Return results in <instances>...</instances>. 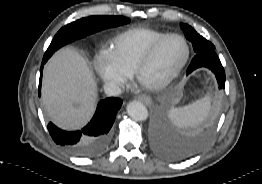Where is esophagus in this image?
Masks as SVG:
<instances>
[{
  "mask_svg": "<svg viewBox=\"0 0 262 184\" xmlns=\"http://www.w3.org/2000/svg\"><path fill=\"white\" fill-rule=\"evenodd\" d=\"M139 101L143 102L146 105H150L152 103V99L150 96L147 95H141L138 98Z\"/></svg>",
  "mask_w": 262,
  "mask_h": 184,
  "instance_id": "1",
  "label": "esophagus"
}]
</instances>
